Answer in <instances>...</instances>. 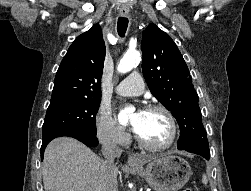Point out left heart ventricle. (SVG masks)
Returning <instances> with one entry per match:
<instances>
[{"label": "left heart ventricle", "instance_id": "1", "mask_svg": "<svg viewBox=\"0 0 251 191\" xmlns=\"http://www.w3.org/2000/svg\"><path fill=\"white\" fill-rule=\"evenodd\" d=\"M137 133L149 144H166L171 137V127L166 115L160 111H146Z\"/></svg>", "mask_w": 251, "mask_h": 191}]
</instances>
